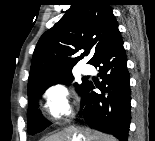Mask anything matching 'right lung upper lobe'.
I'll use <instances>...</instances> for the list:
<instances>
[{"label": "right lung upper lobe", "instance_id": "cb5924a9", "mask_svg": "<svg viewBox=\"0 0 155 141\" xmlns=\"http://www.w3.org/2000/svg\"><path fill=\"white\" fill-rule=\"evenodd\" d=\"M119 32L107 0H75L64 16L39 39L33 53L28 88L42 80L69 72L82 57L94 52L92 64L103 47Z\"/></svg>", "mask_w": 155, "mask_h": 141}]
</instances>
